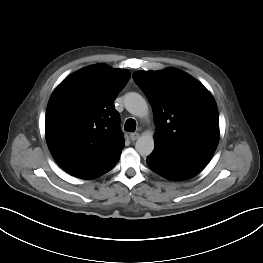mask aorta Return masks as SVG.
Masks as SVG:
<instances>
[{"instance_id":"obj_1","label":"aorta","mask_w":263,"mask_h":263,"mask_svg":"<svg viewBox=\"0 0 263 263\" xmlns=\"http://www.w3.org/2000/svg\"><path fill=\"white\" fill-rule=\"evenodd\" d=\"M124 105L126 110L134 116L145 117L148 114V105L145 99L136 92L125 95ZM136 151L141 156H149L154 150V138L151 133L143 134L135 144Z\"/></svg>"}]
</instances>
